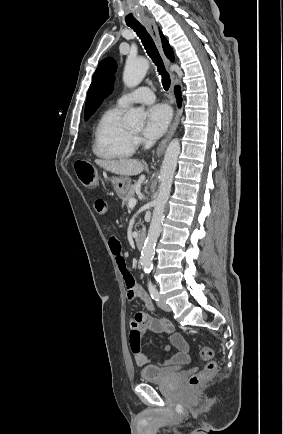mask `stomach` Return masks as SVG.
Here are the masks:
<instances>
[{
	"label": "stomach",
	"instance_id": "obj_1",
	"mask_svg": "<svg viewBox=\"0 0 283 434\" xmlns=\"http://www.w3.org/2000/svg\"><path fill=\"white\" fill-rule=\"evenodd\" d=\"M111 183L114 186V190L116 191V194L119 198H123L127 195V193L130 190L131 187V179L127 176H120V177H111L110 178Z\"/></svg>",
	"mask_w": 283,
	"mask_h": 434
}]
</instances>
